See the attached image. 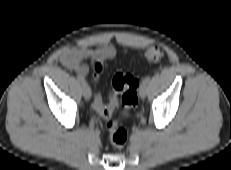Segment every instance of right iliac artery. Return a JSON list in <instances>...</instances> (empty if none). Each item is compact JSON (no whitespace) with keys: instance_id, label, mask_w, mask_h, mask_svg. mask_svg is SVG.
Listing matches in <instances>:
<instances>
[{"instance_id":"obj_1","label":"right iliac artery","mask_w":231,"mask_h":170,"mask_svg":"<svg viewBox=\"0 0 231 170\" xmlns=\"http://www.w3.org/2000/svg\"><path fill=\"white\" fill-rule=\"evenodd\" d=\"M77 78L79 79V81L82 82V84L86 83L84 77H82V76H77Z\"/></svg>"}]
</instances>
